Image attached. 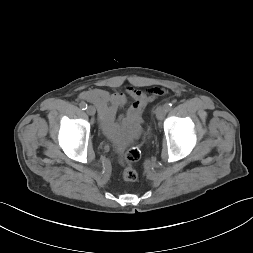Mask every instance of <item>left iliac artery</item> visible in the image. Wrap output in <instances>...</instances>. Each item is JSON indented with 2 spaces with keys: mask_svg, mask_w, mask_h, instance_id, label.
<instances>
[{
  "mask_svg": "<svg viewBox=\"0 0 253 253\" xmlns=\"http://www.w3.org/2000/svg\"><path fill=\"white\" fill-rule=\"evenodd\" d=\"M172 105H173L172 103L165 104L167 111L171 109Z\"/></svg>",
  "mask_w": 253,
  "mask_h": 253,
  "instance_id": "obj_1",
  "label": "left iliac artery"
}]
</instances>
